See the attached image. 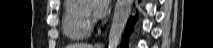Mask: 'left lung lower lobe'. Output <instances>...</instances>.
<instances>
[{"label": "left lung lower lobe", "mask_w": 213, "mask_h": 48, "mask_svg": "<svg viewBox=\"0 0 213 48\" xmlns=\"http://www.w3.org/2000/svg\"><path fill=\"white\" fill-rule=\"evenodd\" d=\"M136 19V17L134 18H130L129 22H128V26H127V31L125 33V37H124V41H123V45L121 48H127V45H126V40H127V37L130 35V33L132 32L133 30V23H134V20Z\"/></svg>", "instance_id": "0a47b994"}]
</instances>
